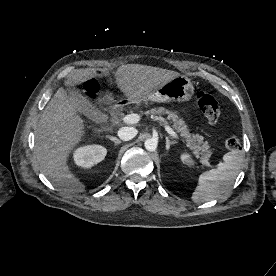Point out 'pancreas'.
Here are the masks:
<instances>
[{"mask_svg": "<svg viewBox=\"0 0 276 276\" xmlns=\"http://www.w3.org/2000/svg\"><path fill=\"white\" fill-rule=\"evenodd\" d=\"M161 113L167 115V120L172 123L173 129L177 133H180V136L187 142V146L194 151L196 157L200 158L201 161L208 162L212 154V150L209 149L210 146L208 141H205L202 135L191 134L185 122L180 119L175 112H171L163 107L151 109L146 112V114L151 115H158Z\"/></svg>", "mask_w": 276, "mask_h": 276, "instance_id": "1", "label": "pancreas"}]
</instances>
